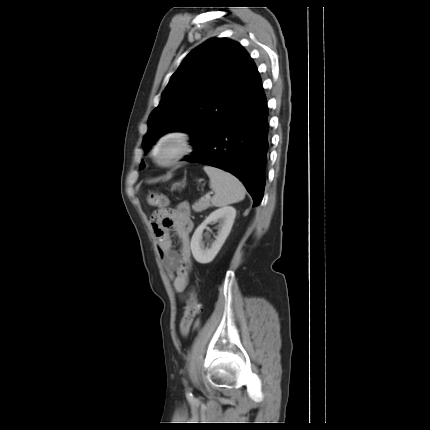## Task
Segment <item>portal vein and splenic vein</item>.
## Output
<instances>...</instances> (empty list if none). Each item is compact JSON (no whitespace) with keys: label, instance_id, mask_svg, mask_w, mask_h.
Returning a JSON list of instances; mask_svg holds the SVG:
<instances>
[{"label":"portal vein and splenic vein","instance_id":"portal-vein-and-splenic-vein-1","mask_svg":"<svg viewBox=\"0 0 430 430\" xmlns=\"http://www.w3.org/2000/svg\"><path fill=\"white\" fill-rule=\"evenodd\" d=\"M205 198H206V199L210 198V193H207V194L205 195Z\"/></svg>","mask_w":430,"mask_h":430}]
</instances>
